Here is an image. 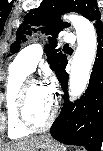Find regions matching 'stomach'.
<instances>
[{
  "mask_svg": "<svg viewBox=\"0 0 103 151\" xmlns=\"http://www.w3.org/2000/svg\"><path fill=\"white\" fill-rule=\"evenodd\" d=\"M33 151H65V149L54 141L50 136H40Z\"/></svg>",
  "mask_w": 103,
  "mask_h": 151,
  "instance_id": "obj_1",
  "label": "stomach"
}]
</instances>
